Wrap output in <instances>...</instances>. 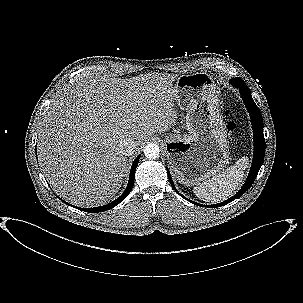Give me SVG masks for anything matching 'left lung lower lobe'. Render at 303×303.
I'll use <instances>...</instances> for the list:
<instances>
[{
  "label": "left lung lower lobe",
  "mask_w": 303,
  "mask_h": 303,
  "mask_svg": "<svg viewBox=\"0 0 303 303\" xmlns=\"http://www.w3.org/2000/svg\"><path fill=\"white\" fill-rule=\"evenodd\" d=\"M230 83L239 89L240 95H241V97L247 107V110L250 114V117H251V122H252V126H253V136H254L253 163H252L249 175L246 179V182L238 193H236L234 196H232L231 198L227 199L226 201H224L222 203L215 204V205H206V207H212V208L220 207V206L226 205V204L234 201L235 199L241 197L253 184L254 180L256 179V177L258 175V172L263 163V160H264L265 138L263 135V119H262L260 110L257 107V105L255 104L254 100L252 99L249 88L247 87V85L244 83V81L241 78H239V77L233 78V79H231ZM167 172H168V178H169V181H170L172 187L178 193V191L175 189L174 183L172 181V178H171V175H170V172L168 169H167ZM190 202H192V201H190ZM192 203L199 205V206H204V205L197 204L195 202H192Z\"/></svg>",
  "instance_id": "obj_1"
}]
</instances>
